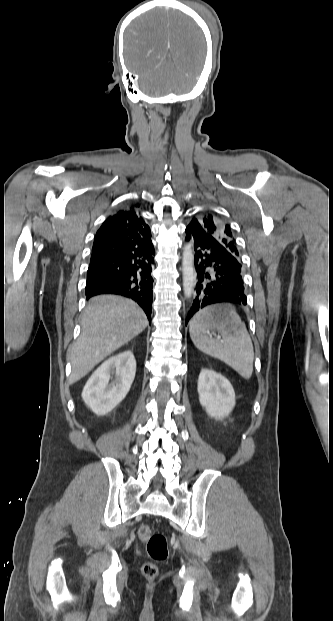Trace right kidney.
I'll list each match as a JSON object with an SVG mask.
<instances>
[{"label":"right kidney","instance_id":"1","mask_svg":"<svg viewBox=\"0 0 333 621\" xmlns=\"http://www.w3.org/2000/svg\"><path fill=\"white\" fill-rule=\"evenodd\" d=\"M136 373L131 350L110 357L91 375L82 391L85 404L97 415L112 411L128 394ZM114 375V379H112Z\"/></svg>","mask_w":333,"mask_h":621}]
</instances>
